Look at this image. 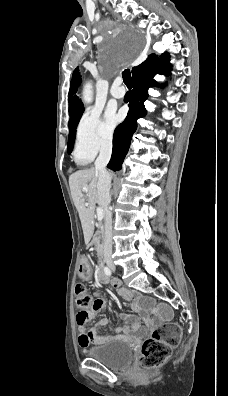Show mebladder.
I'll use <instances>...</instances> for the list:
<instances>
[{"mask_svg": "<svg viewBox=\"0 0 228 396\" xmlns=\"http://www.w3.org/2000/svg\"><path fill=\"white\" fill-rule=\"evenodd\" d=\"M86 354L101 364L114 369L128 367L133 361V350L125 340H111L90 347Z\"/></svg>", "mask_w": 228, "mask_h": 396, "instance_id": "bladder-1", "label": "bladder"}]
</instances>
